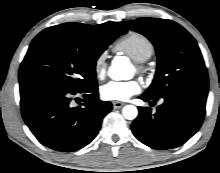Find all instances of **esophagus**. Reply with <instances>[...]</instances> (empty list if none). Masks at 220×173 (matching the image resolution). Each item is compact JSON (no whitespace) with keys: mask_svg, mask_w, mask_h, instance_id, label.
<instances>
[{"mask_svg":"<svg viewBox=\"0 0 220 173\" xmlns=\"http://www.w3.org/2000/svg\"><path fill=\"white\" fill-rule=\"evenodd\" d=\"M125 104L123 102H120V101H114L113 102V107L115 109H120L121 107H123Z\"/></svg>","mask_w":220,"mask_h":173,"instance_id":"obj_1","label":"esophagus"}]
</instances>
